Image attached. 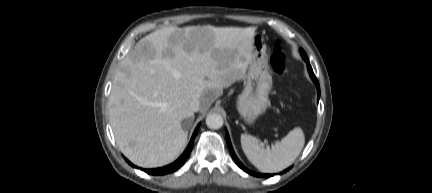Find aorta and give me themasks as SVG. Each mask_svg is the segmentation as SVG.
<instances>
[{
  "label": "aorta",
  "mask_w": 432,
  "mask_h": 193,
  "mask_svg": "<svg viewBox=\"0 0 432 193\" xmlns=\"http://www.w3.org/2000/svg\"><path fill=\"white\" fill-rule=\"evenodd\" d=\"M223 117L218 113H210L206 117V125L210 129H219L223 126Z\"/></svg>",
  "instance_id": "aorta-1"
}]
</instances>
